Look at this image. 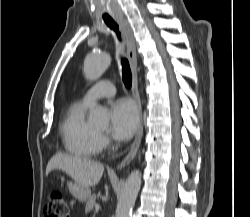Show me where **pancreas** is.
Masks as SVG:
<instances>
[{"mask_svg": "<svg viewBox=\"0 0 250 217\" xmlns=\"http://www.w3.org/2000/svg\"><path fill=\"white\" fill-rule=\"evenodd\" d=\"M96 205V196L95 195H92L88 202L86 203V206H85V211L87 213H89L91 210H93V208L95 207Z\"/></svg>", "mask_w": 250, "mask_h": 217, "instance_id": "1", "label": "pancreas"}]
</instances>
